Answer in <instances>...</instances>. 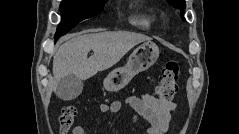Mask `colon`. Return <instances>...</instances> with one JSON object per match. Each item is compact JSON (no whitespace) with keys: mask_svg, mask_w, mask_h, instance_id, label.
<instances>
[{"mask_svg":"<svg viewBox=\"0 0 239 134\" xmlns=\"http://www.w3.org/2000/svg\"><path fill=\"white\" fill-rule=\"evenodd\" d=\"M180 77L179 65L175 62H169L162 69L159 83L156 87V92L161 99L170 100L178 91V82ZM78 108L74 104L66 105L59 116V125L61 133H68L75 117L77 116Z\"/></svg>","mask_w":239,"mask_h":134,"instance_id":"1","label":"colon"}]
</instances>
